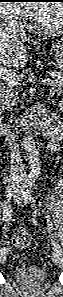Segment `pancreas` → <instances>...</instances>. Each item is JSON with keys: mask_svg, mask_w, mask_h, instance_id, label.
<instances>
[{"mask_svg": "<svg viewBox=\"0 0 63 297\" xmlns=\"http://www.w3.org/2000/svg\"><path fill=\"white\" fill-rule=\"evenodd\" d=\"M52 82H51V85L55 88V87H60L62 85V74L59 73V72H54L52 74Z\"/></svg>", "mask_w": 63, "mask_h": 297, "instance_id": "pancreas-1", "label": "pancreas"}]
</instances>
